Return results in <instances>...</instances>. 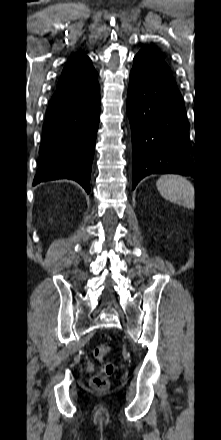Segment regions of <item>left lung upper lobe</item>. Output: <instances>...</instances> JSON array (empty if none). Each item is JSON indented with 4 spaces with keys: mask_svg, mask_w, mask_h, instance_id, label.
<instances>
[{
    "mask_svg": "<svg viewBox=\"0 0 221 440\" xmlns=\"http://www.w3.org/2000/svg\"><path fill=\"white\" fill-rule=\"evenodd\" d=\"M142 49H148V50H150V51H152V52H154V53H156L158 56H160L156 51H154L153 49H151L150 47H144V48H142ZM161 57V56H160ZM162 58V57H161ZM163 59V58H162Z\"/></svg>",
    "mask_w": 221,
    "mask_h": 440,
    "instance_id": "1",
    "label": "left lung upper lobe"
}]
</instances>
